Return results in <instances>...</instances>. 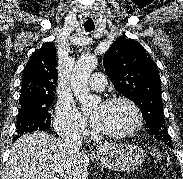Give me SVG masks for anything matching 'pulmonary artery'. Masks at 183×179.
Segmentation results:
<instances>
[{
	"label": "pulmonary artery",
	"instance_id": "pulmonary-artery-1",
	"mask_svg": "<svg viewBox=\"0 0 183 179\" xmlns=\"http://www.w3.org/2000/svg\"><path fill=\"white\" fill-rule=\"evenodd\" d=\"M106 78L101 73H94L89 79V86L95 91H102L106 87Z\"/></svg>",
	"mask_w": 183,
	"mask_h": 179
}]
</instances>
